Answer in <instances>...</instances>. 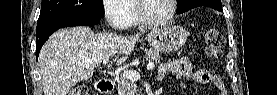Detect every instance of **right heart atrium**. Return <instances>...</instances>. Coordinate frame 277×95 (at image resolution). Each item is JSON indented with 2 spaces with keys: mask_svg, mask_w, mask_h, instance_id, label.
I'll list each match as a JSON object with an SVG mask.
<instances>
[{
  "mask_svg": "<svg viewBox=\"0 0 277 95\" xmlns=\"http://www.w3.org/2000/svg\"><path fill=\"white\" fill-rule=\"evenodd\" d=\"M126 0H103L102 10L109 25L114 29L124 26L128 10L124 6Z\"/></svg>",
  "mask_w": 277,
  "mask_h": 95,
  "instance_id": "d8ad5b80",
  "label": "right heart atrium"
}]
</instances>
